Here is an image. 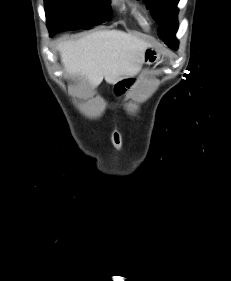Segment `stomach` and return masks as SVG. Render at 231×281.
Instances as JSON below:
<instances>
[{"label": "stomach", "instance_id": "obj_1", "mask_svg": "<svg viewBox=\"0 0 231 281\" xmlns=\"http://www.w3.org/2000/svg\"><path fill=\"white\" fill-rule=\"evenodd\" d=\"M159 58V52L154 48L148 47L143 53L142 64L150 65L156 63L158 62Z\"/></svg>", "mask_w": 231, "mask_h": 281}]
</instances>
